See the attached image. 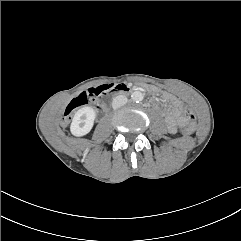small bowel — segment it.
<instances>
[{"mask_svg":"<svg viewBox=\"0 0 241 241\" xmlns=\"http://www.w3.org/2000/svg\"><path fill=\"white\" fill-rule=\"evenodd\" d=\"M166 98L171 102L172 108L169 110L166 121L168 128L173 130L176 125H183L185 123L182 118V103L179 99L166 95Z\"/></svg>","mask_w":241,"mask_h":241,"instance_id":"obj_1","label":"small bowel"}]
</instances>
